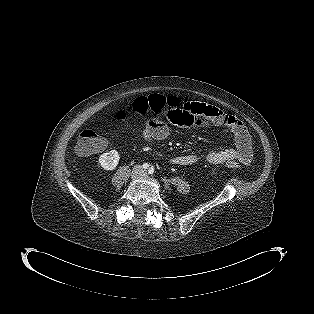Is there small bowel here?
Returning a JSON list of instances; mask_svg holds the SVG:
<instances>
[{"label":"small bowel","instance_id":"small-bowel-1","mask_svg":"<svg viewBox=\"0 0 314 314\" xmlns=\"http://www.w3.org/2000/svg\"><path fill=\"white\" fill-rule=\"evenodd\" d=\"M164 120L177 128H221L229 130L234 136L235 146L220 151H210L203 158L210 164H223L228 159H235L244 165L252 160L250 135L243 123L233 115L205 103L191 102L187 104L168 105L163 112ZM144 140L153 142L163 140L168 135L167 125L157 119L140 128ZM106 143L104 141L103 148ZM102 148V149H103ZM101 149V150H102ZM198 161L195 154L188 153L176 156L172 163L178 166H191Z\"/></svg>","mask_w":314,"mask_h":314}]
</instances>
